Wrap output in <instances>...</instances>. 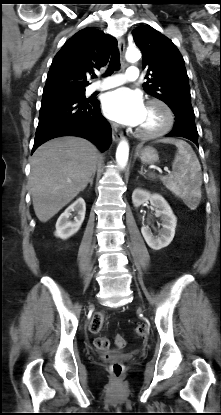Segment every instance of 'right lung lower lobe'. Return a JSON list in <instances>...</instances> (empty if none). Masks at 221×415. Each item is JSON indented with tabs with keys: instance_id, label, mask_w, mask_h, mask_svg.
<instances>
[{
	"instance_id": "98d812e1",
	"label": "right lung lower lobe",
	"mask_w": 221,
	"mask_h": 415,
	"mask_svg": "<svg viewBox=\"0 0 221 415\" xmlns=\"http://www.w3.org/2000/svg\"><path fill=\"white\" fill-rule=\"evenodd\" d=\"M95 98L43 95L32 153L44 142L66 135L90 140L102 152L111 143V128Z\"/></svg>"
}]
</instances>
